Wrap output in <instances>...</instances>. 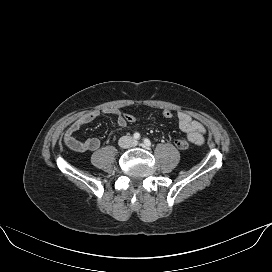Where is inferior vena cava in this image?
Wrapping results in <instances>:
<instances>
[{"label": "inferior vena cava", "instance_id": "inferior-vena-cava-1", "mask_svg": "<svg viewBox=\"0 0 272 272\" xmlns=\"http://www.w3.org/2000/svg\"><path fill=\"white\" fill-rule=\"evenodd\" d=\"M134 144V139L131 136H122L119 141L118 145L121 148H130Z\"/></svg>", "mask_w": 272, "mask_h": 272}]
</instances>
